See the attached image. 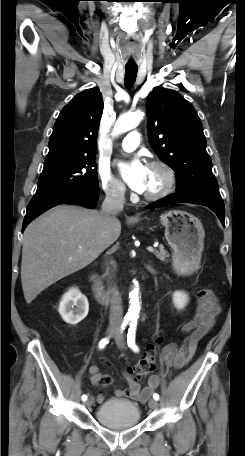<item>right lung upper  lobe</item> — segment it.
<instances>
[{
  "mask_svg": "<svg viewBox=\"0 0 245 456\" xmlns=\"http://www.w3.org/2000/svg\"><path fill=\"white\" fill-rule=\"evenodd\" d=\"M102 112L103 99L97 87L77 94L55 122L44 164L94 155Z\"/></svg>",
  "mask_w": 245,
  "mask_h": 456,
  "instance_id": "1",
  "label": "right lung upper lobe"
}]
</instances>
